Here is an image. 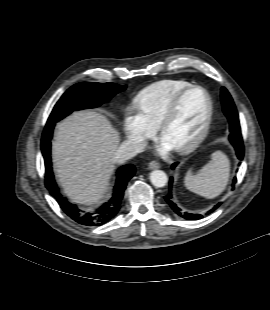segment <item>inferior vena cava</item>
Wrapping results in <instances>:
<instances>
[{
	"mask_svg": "<svg viewBox=\"0 0 270 310\" xmlns=\"http://www.w3.org/2000/svg\"><path fill=\"white\" fill-rule=\"evenodd\" d=\"M146 147V143L126 140L118 147L113 161L118 163H124L126 160L131 159L140 152H143Z\"/></svg>",
	"mask_w": 270,
	"mask_h": 310,
	"instance_id": "1",
	"label": "inferior vena cava"
}]
</instances>
